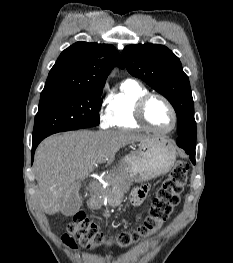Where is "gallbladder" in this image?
Instances as JSON below:
<instances>
[{"mask_svg":"<svg viewBox=\"0 0 233 263\" xmlns=\"http://www.w3.org/2000/svg\"><path fill=\"white\" fill-rule=\"evenodd\" d=\"M82 205V201L78 196H74L73 198H70L67 202L66 206L61 210L62 215L68 217L75 215Z\"/></svg>","mask_w":233,"mask_h":263,"instance_id":"gallbladder-1","label":"gallbladder"}]
</instances>
